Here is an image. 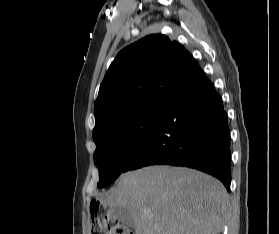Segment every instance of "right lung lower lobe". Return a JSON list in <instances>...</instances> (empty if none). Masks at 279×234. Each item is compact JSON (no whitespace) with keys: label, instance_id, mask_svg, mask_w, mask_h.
<instances>
[{"label":"right lung lower lobe","instance_id":"98d812e1","mask_svg":"<svg viewBox=\"0 0 279 234\" xmlns=\"http://www.w3.org/2000/svg\"><path fill=\"white\" fill-rule=\"evenodd\" d=\"M230 132L220 95L202 71L169 103L124 172L148 165L196 168L230 190Z\"/></svg>","mask_w":279,"mask_h":234}]
</instances>
